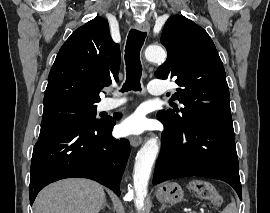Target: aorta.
<instances>
[{
    "mask_svg": "<svg viewBox=\"0 0 270 213\" xmlns=\"http://www.w3.org/2000/svg\"><path fill=\"white\" fill-rule=\"evenodd\" d=\"M166 56L165 50L160 46H149L145 51L146 59L154 63L164 62ZM158 150V138L152 137L145 142L137 154L134 165L133 183L136 193L135 206L138 210L144 207L148 182Z\"/></svg>",
    "mask_w": 270,
    "mask_h": 213,
    "instance_id": "aorta-1",
    "label": "aorta"
}]
</instances>
